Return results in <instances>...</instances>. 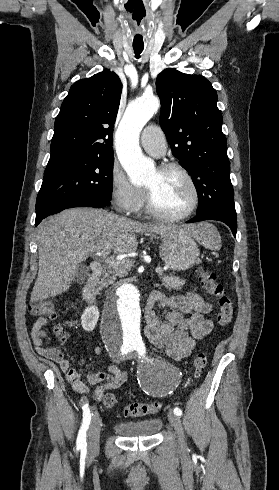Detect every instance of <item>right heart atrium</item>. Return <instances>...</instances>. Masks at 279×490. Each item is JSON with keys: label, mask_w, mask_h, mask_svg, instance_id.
<instances>
[{"label": "right heart atrium", "mask_w": 279, "mask_h": 490, "mask_svg": "<svg viewBox=\"0 0 279 490\" xmlns=\"http://www.w3.org/2000/svg\"><path fill=\"white\" fill-rule=\"evenodd\" d=\"M109 188L113 202L122 212L137 215L143 210L146 190L134 185L117 162L109 172Z\"/></svg>", "instance_id": "d8ad5b80"}]
</instances>
